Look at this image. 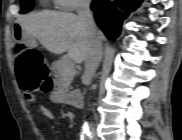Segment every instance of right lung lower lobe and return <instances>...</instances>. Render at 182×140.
Instances as JSON below:
<instances>
[{
    "label": "right lung lower lobe",
    "mask_w": 182,
    "mask_h": 140,
    "mask_svg": "<svg viewBox=\"0 0 182 140\" xmlns=\"http://www.w3.org/2000/svg\"><path fill=\"white\" fill-rule=\"evenodd\" d=\"M142 0H95L91 9L98 26L112 40L120 34L122 22L135 11Z\"/></svg>",
    "instance_id": "right-lung-lower-lobe-1"
}]
</instances>
